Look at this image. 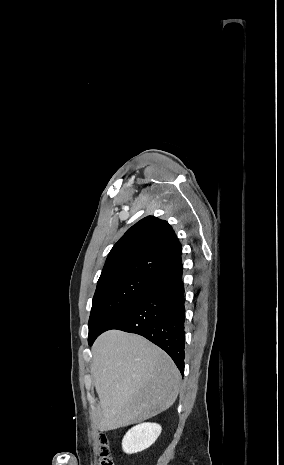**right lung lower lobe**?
<instances>
[{
    "label": "right lung lower lobe",
    "mask_w": 284,
    "mask_h": 465,
    "mask_svg": "<svg viewBox=\"0 0 284 465\" xmlns=\"http://www.w3.org/2000/svg\"><path fill=\"white\" fill-rule=\"evenodd\" d=\"M184 302L180 263L155 278L140 295L105 325L100 334L110 329H119L142 335L167 352L183 374ZM97 337L89 342L90 346Z\"/></svg>",
    "instance_id": "right-lung-lower-lobe-1"
}]
</instances>
